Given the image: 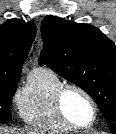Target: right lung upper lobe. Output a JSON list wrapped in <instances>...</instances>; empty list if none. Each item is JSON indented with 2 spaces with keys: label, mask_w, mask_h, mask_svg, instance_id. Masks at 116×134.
<instances>
[{
  "label": "right lung upper lobe",
  "mask_w": 116,
  "mask_h": 134,
  "mask_svg": "<svg viewBox=\"0 0 116 134\" xmlns=\"http://www.w3.org/2000/svg\"><path fill=\"white\" fill-rule=\"evenodd\" d=\"M36 35V25L21 19L0 25V83L19 81L21 63L26 58Z\"/></svg>",
  "instance_id": "1"
}]
</instances>
